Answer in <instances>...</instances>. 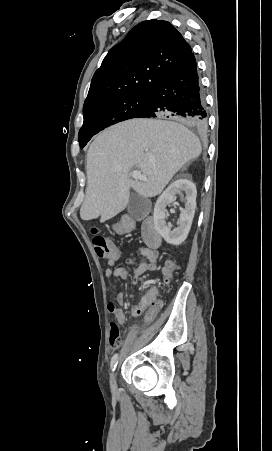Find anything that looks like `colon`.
Here are the masks:
<instances>
[{
	"label": "colon",
	"mask_w": 272,
	"mask_h": 451,
	"mask_svg": "<svg viewBox=\"0 0 272 451\" xmlns=\"http://www.w3.org/2000/svg\"><path fill=\"white\" fill-rule=\"evenodd\" d=\"M93 245L95 248V251L98 256H112L114 254V250L117 248V243L115 241H110L107 243L106 239L97 233H94L93 235ZM109 266L115 265L114 259L108 260ZM136 269L138 271H147L149 269V264L147 262H138L136 264ZM169 274V273H168ZM150 298L153 303H155L157 299L156 293H151ZM148 299V298H147ZM162 299V298H161ZM108 335H109V343L111 347H120L121 345V339H120V329L116 322L111 321L108 325Z\"/></svg>",
	"instance_id": "obj_1"
}]
</instances>
